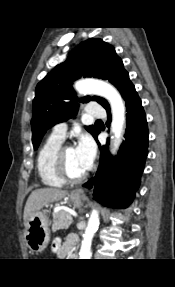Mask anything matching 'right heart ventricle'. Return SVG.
Listing matches in <instances>:
<instances>
[{
  "label": "right heart ventricle",
  "mask_w": 175,
  "mask_h": 287,
  "mask_svg": "<svg viewBox=\"0 0 175 287\" xmlns=\"http://www.w3.org/2000/svg\"><path fill=\"white\" fill-rule=\"evenodd\" d=\"M63 140L50 135L41 145L36 160V168L41 182L49 187L60 188L65 182L57 175L54 158Z\"/></svg>",
  "instance_id": "obj_1"
}]
</instances>
